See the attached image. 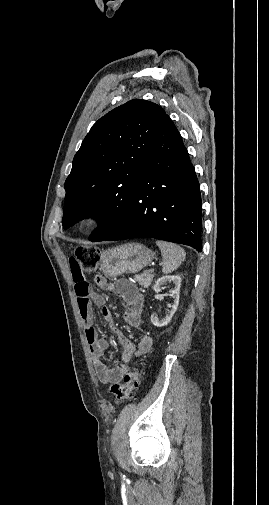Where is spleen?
Instances as JSON below:
<instances>
[{"instance_id":"spleen-1","label":"spleen","mask_w":269,"mask_h":505,"mask_svg":"<svg viewBox=\"0 0 269 505\" xmlns=\"http://www.w3.org/2000/svg\"><path fill=\"white\" fill-rule=\"evenodd\" d=\"M156 245L160 248L163 258L162 272L164 274L173 272L184 261L186 253L179 245L159 240L156 241Z\"/></svg>"}]
</instances>
